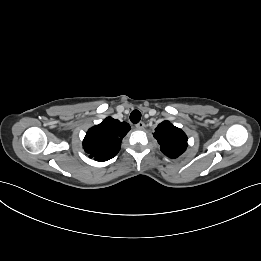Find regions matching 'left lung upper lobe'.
<instances>
[{
	"label": "left lung upper lobe",
	"instance_id": "5c2ea615",
	"mask_svg": "<svg viewBox=\"0 0 261 261\" xmlns=\"http://www.w3.org/2000/svg\"><path fill=\"white\" fill-rule=\"evenodd\" d=\"M153 136L157 139L163 154L170 158H177L187 147V136L169 121H163L156 129Z\"/></svg>",
	"mask_w": 261,
	"mask_h": 261
}]
</instances>
